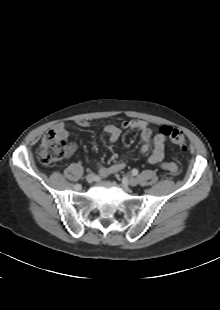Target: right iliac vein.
Segmentation results:
<instances>
[{"mask_svg": "<svg viewBox=\"0 0 220 310\" xmlns=\"http://www.w3.org/2000/svg\"><path fill=\"white\" fill-rule=\"evenodd\" d=\"M94 180H95V175H94V174H89V175H87L86 181H87L88 183H92V182H94Z\"/></svg>", "mask_w": 220, "mask_h": 310, "instance_id": "63e3f726", "label": "right iliac vein"}]
</instances>
